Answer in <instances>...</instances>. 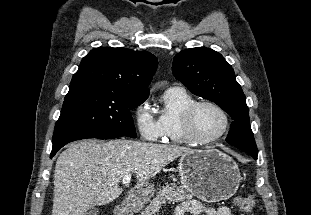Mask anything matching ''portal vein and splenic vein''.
<instances>
[{
	"instance_id": "1",
	"label": "portal vein and splenic vein",
	"mask_w": 311,
	"mask_h": 215,
	"mask_svg": "<svg viewBox=\"0 0 311 215\" xmlns=\"http://www.w3.org/2000/svg\"><path fill=\"white\" fill-rule=\"evenodd\" d=\"M131 181V174H126L122 179L123 185H128Z\"/></svg>"
}]
</instances>
